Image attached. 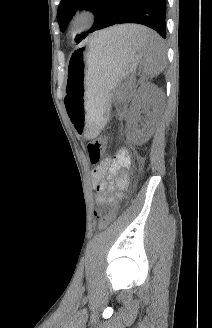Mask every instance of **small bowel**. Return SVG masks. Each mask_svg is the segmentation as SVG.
<instances>
[{"label":"small bowel","instance_id":"c3829d8e","mask_svg":"<svg viewBox=\"0 0 212 328\" xmlns=\"http://www.w3.org/2000/svg\"><path fill=\"white\" fill-rule=\"evenodd\" d=\"M130 165V155L122 148L94 167L91 180L97 191L98 203L114 205L122 198V193L128 185L127 171Z\"/></svg>","mask_w":212,"mask_h":328}]
</instances>
